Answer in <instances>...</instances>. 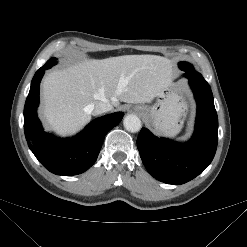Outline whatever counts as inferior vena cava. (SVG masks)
<instances>
[{
  "label": "inferior vena cava",
  "instance_id": "602c4592",
  "mask_svg": "<svg viewBox=\"0 0 247 247\" xmlns=\"http://www.w3.org/2000/svg\"><path fill=\"white\" fill-rule=\"evenodd\" d=\"M112 109H113L112 104L107 101H97L87 106V110L93 113L94 115H99L108 112Z\"/></svg>",
  "mask_w": 247,
  "mask_h": 247
}]
</instances>
